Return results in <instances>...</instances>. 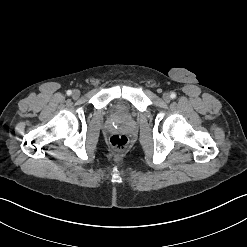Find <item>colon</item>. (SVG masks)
Masks as SVG:
<instances>
[{"instance_id":"5ec220e1","label":"colon","mask_w":247,"mask_h":247,"mask_svg":"<svg viewBox=\"0 0 247 247\" xmlns=\"http://www.w3.org/2000/svg\"><path fill=\"white\" fill-rule=\"evenodd\" d=\"M110 145L116 150L124 149L128 144V138L125 135L114 134L109 138Z\"/></svg>"}]
</instances>
